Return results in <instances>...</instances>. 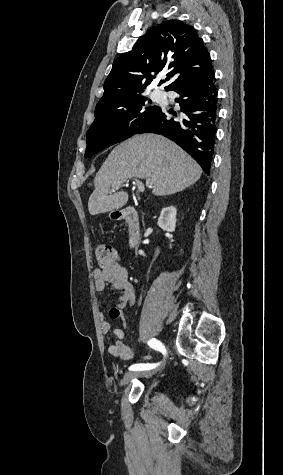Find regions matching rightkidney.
Listing matches in <instances>:
<instances>
[{
    "instance_id": "obj_1",
    "label": "right kidney",
    "mask_w": 283,
    "mask_h": 475,
    "mask_svg": "<svg viewBox=\"0 0 283 475\" xmlns=\"http://www.w3.org/2000/svg\"><path fill=\"white\" fill-rule=\"evenodd\" d=\"M176 208L169 206V208H163L161 210L160 218H158V226L166 232H175L176 226Z\"/></svg>"
}]
</instances>
